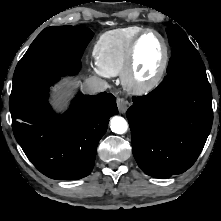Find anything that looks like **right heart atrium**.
<instances>
[{
	"instance_id": "d8ad5b80",
	"label": "right heart atrium",
	"mask_w": 221,
	"mask_h": 221,
	"mask_svg": "<svg viewBox=\"0 0 221 221\" xmlns=\"http://www.w3.org/2000/svg\"><path fill=\"white\" fill-rule=\"evenodd\" d=\"M93 71L103 77L108 76L97 64L92 67Z\"/></svg>"
}]
</instances>
